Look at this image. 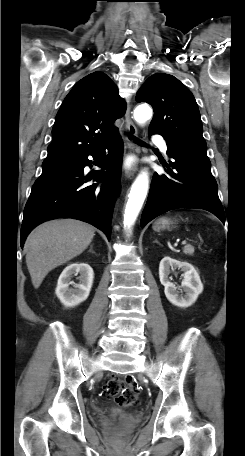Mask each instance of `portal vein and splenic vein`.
Wrapping results in <instances>:
<instances>
[{"label":"portal vein and splenic vein","instance_id":"18ae733b","mask_svg":"<svg viewBox=\"0 0 245 456\" xmlns=\"http://www.w3.org/2000/svg\"><path fill=\"white\" fill-rule=\"evenodd\" d=\"M187 242L184 240L181 242L182 245H185Z\"/></svg>","mask_w":245,"mask_h":456}]
</instances>
